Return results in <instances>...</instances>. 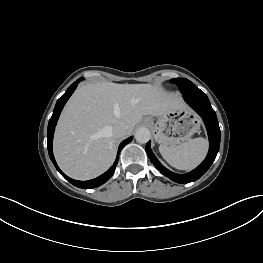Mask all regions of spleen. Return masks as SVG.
Listing matches in <instances>:
<instances>
[{
  "instance_id": "1",
  "label": "spleen",
  "mask_w": 263,
  "mask_h": 263,
  "mask_svg": "<svg viewBox=\"0 0 263 263\" xmlns=\"http://www.w3.org/2000/svg\"><path fill=\"white\" fill-rule=\"evenodd\" d=\"M159 151L172 167L192 170L204 160L208 151V141L198 137L177 146L160 145Z\"/></svg>"
}]
</instances>
